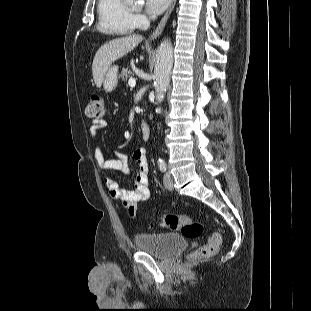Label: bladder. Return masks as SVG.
I'll use <instances>...</instances> for the list:
<instances>
[{
	"label": "bladder",
	"instance_id": "obj_1",
	"mask_svg": "<svg viewBox=\"0 0 311 311\" xmlns=\"http://www.w3.org/2000/svg\"><path fill=\"white\" fill-rule=\"evenodd\" d=\"M136 249L148 252L162 260H170L188 245L184 235L178 233H143L133 239Z\"/></svg>",
	"mask_w": 311,
	"mask_h": 311
}]
</instances>
